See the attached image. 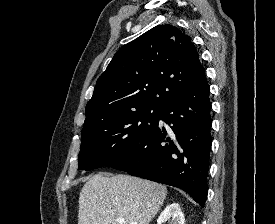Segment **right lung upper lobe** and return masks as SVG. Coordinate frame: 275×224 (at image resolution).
<instances>
[{"label":"right lung upper lobe","instance_id":"right-lung-upper-lobe-1","mask_svg":"<svg viewBox=\"0 0 275 224\" xmlns=\"http://www.w3.org/2000/svg\"><path fill=\"white\" fill-rule=\"evenodd\" d=\"M203 73L191 38L169 24L158 25L114 55L86 106L83 129L140 109L163 110Z\"/></svg>","mask_w":275,"mask_h":224}]
</instances>
